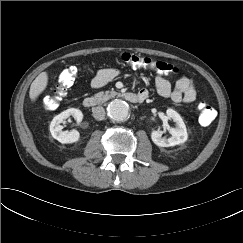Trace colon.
<instances>
[{"label": "colon", "mask_w": 243, "mask_h": 243, "mask_svg": "<svg viewBox=\"0 0 243 243\" xmlns=\"http://www.w3.org/2000/svg\"><path fill=\"white\" fill-rule=\"evenodd\" d=\"M120 60L133 67L153 69L161 75L172 76L178 73V68L170 63L153 61L138 54L123 53L120 56ZM79 71L80 67L77 66H67L61 71L57 89L52 95L46 96L43 100L46 109H55L59 105L68 88L74 83ZM197 110L199 112V121L203 125L211 124L216 117L215 110L205 102L198 103Z\"/></svg>", "instance_id": "obj_1"}]
</instances>
